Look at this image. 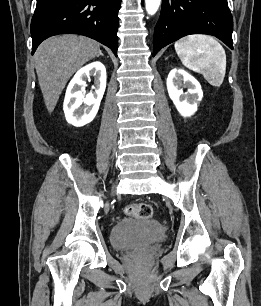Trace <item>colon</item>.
Wrapping results in <instances>:
<instances>
[{
  "mask_svg": "<svg viewBox=\"0 0 261 306\" xmlns=\"http://www.w3.org/2000/svg\"><path fill=\"white\" fill-rule=\"evenodd\" d=\"M125 214L134 218L149 219L153 216V209L147 203L129 204L125 207Z\"/></svg>",
  "mask_w": 261,
  "mask_h": 306,
  "instance_id": "colon-1",
  "label": "colon"
}]
</instances>
